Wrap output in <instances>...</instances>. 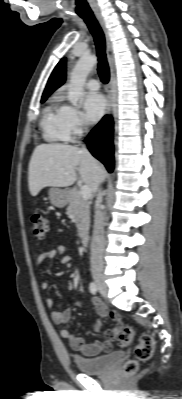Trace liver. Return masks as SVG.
<instances>
[{
    "label": "liver",
    "instance_id": "1",
    "mask_svg": "<svg viewBox=\"0 0 182 399\" xmlns=\"http://www.w3.org/2000/svg\"><path fill=\"white\" fill-rule=\"evenodd\" d=\"M96 192L104 180V167L85 149L66 144H40L29 162L28 184L32 196L47 186L66 187L77 179Z\"/></svg>",
    "mask_w": 182,
    "mask_h": 399
}]
</instances>
